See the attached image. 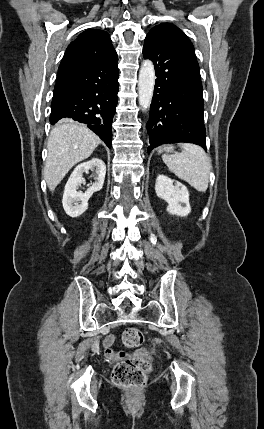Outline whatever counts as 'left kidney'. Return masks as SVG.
Returning <instances> with one entry per match:
<instances>
[{"label":"left kidney","instance_id":"5707ae66","mask_svg":"<svg viewBox=\"0 0 264 429\" xmlns=\"http://www.w3.org/2000/svg\"><path fill=\"white\" fill-rule=\"evenodd\" d=\"M173 183L174 181L167 176L159 175L155 184L156 194L168 203L169 214L180 217L188 216L191 212L188 189L180 182Z\"/></svg>","mask_w":264,"mask_h":429}]
</instances>
